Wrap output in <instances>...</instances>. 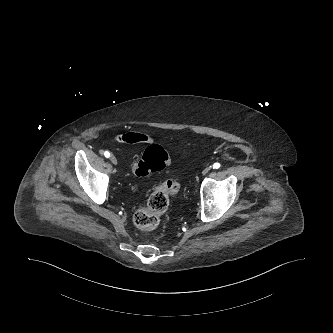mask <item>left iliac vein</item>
<instances>
[{
  "instance_id": "1",
  "label": "left iliac vein",
  "mask_w": 333,
  "mask_h": 333,
  "mask_svg": "<svg viewBox=\"0 0 333 333\" xmlns=\"http://www.w3.org/2000/svg\"><path fill=\"white\" fill-rule=\"evenodd\" d=\"M211 170L210 166H207L206 168H204V170L202 171L203 175H206L209 171Z\"/></svg>"
}]
</instances>
